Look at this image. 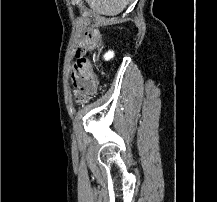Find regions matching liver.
I'll return each instance as SVG.
<instances>
[{"label": "liver", "mask_w": 217, "mask_h": 202, "mask_svg": "<svg viewBox=\"0 0 217 202\" xmlns=\"http://www.w3.org/2000/svg\"><path fill=\"white\" fill-rule=\"evenodd\" d=\"M93 12L102 16H117L125 10L131 0H85Z\"/></svg>", "instance_id": "liver-1"}]
</instances>
